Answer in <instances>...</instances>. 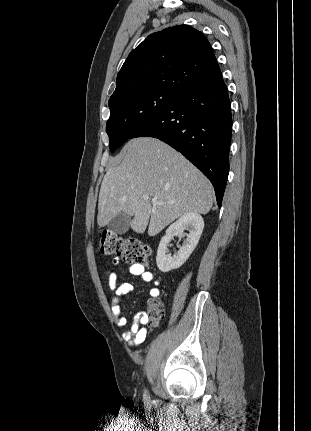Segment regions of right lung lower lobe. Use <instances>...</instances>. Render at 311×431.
Segmentation results:
<instances>
[{"label": "right lung lower lobe", "mask_w": 311, "mask_h": 431, "mask_svg": "<svg viewBox=\"0 0 311 431\" xmlns=\"http://www.w3.org/2000/svg\"><path fill=\"white\" fill-rule=\"evenodd\" d=\"M232 116L222 74L183 91L130 138L155 137L181 152L212 183L221 207L229 172Z\"/></svg>", "instance_id": "right-lung-lower-lobe-1"}]
</instances>
